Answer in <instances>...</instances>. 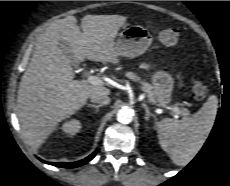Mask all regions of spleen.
I'll return each instance as SVG.
<instances>
[{
    "label": "spleen",
    "mask_w": 230,
    "mask_h": 186,
    "mask_svg": "<svg viewBox=\"0 0 230 186\" xmlns=\"http://www.w3.org/2000/svg\"><path fill=\"white\" fill-rule=\"evenodd\" d=\"M217 108V96L210 95L194 116L164 118L156 123L159 144L174 164L185 166L197 155L214 125Z\"/></svg>",
    "instance_id": "1"
}]
</instances>
